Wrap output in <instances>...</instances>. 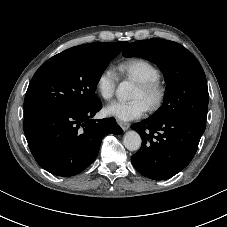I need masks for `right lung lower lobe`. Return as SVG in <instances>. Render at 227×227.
<instances>
[{
    "mask_svg": "<svg viewBox=\"0 0 227 227\" xmlns=\"http://www.w3.org/2000/svg\"><path fill=\"white\" fill-rule=\"evenodd\" d=\"M100 100L78 108L54 107L25 116L23 129L32 155L46 171L63 177L86 169L108 133L120 134L115 118L92 119Z\"/></svg>",
    "mask_w": 227,
    "mask_h": 227,
    "instance_id": "1",
    "label": "right lung lower lobe"
}]
</instances>
